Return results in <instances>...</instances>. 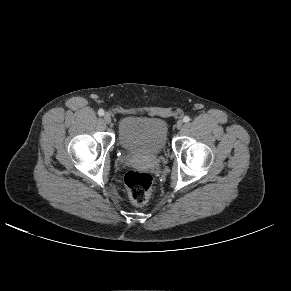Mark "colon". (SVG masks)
I'll return each mask as SVG.
<instances>
[{
	"mask_svg": "<svg viewBox=\"0 0 291 291\" xmlns=\"http://www.w3.org/2000/svg\"><path fill=\"white\" fill-rule=\"evenodd\" d=\"M124 182L134 204L143 205L148 201L152 187L150 174L131 170L125 174Z\"/></svg>",
	"mask_w": 291,
	"mask_h": 291,
	"instance_id": "1",
	"label": "colon"
}]
</instances>
